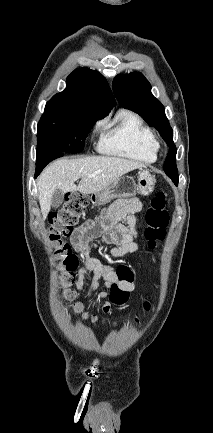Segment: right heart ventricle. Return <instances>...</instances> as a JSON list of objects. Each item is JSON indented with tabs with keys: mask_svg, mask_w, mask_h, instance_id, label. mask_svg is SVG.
<instances>
[{
	"mask_svg": "<svg viewBox=\"0 0 213 433\" xmlns=\"http://www.w3.org/2000/svg\"><path fill=\"white\" fill-rule=\"evenodd\" d=\"M98 148L108 155L154 162L159 144L153 131L138 115L121 111L113 124L106 125Z\"/></svg>",
	"mask_w": 213,
	"mask_h": 433,
	"instance_id": "1",
	"label": "right heart ventricle"
}]
</instances>
